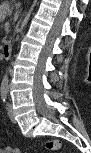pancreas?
<instances>
[{
    "mask_svg": "<svg viewBox=\"0 0 91 153\" xmlns=\"http://www.w3.org/2000/svg\"><path fill=\"white\" fill-rule=\"evenodd\" d=\"M0 11H1L2 17H4L7 13H11L12 9L9 4L5 3L1 5Z\"/></svg>",
    "mask_w": 91,
    "mask_h": 153,
    "instance_id": "cf45deb5",
    "label": "pancreas"
}]
</instances>
